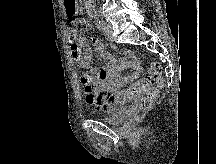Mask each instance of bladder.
I'll use <instances>...</instances> for the list:
<instances>
[{"label": "bladder", "mask_w": 216, "mask_h": 164, "mask_svg": "<svg viewBox=\"0 0 216 164\" xmlns=\"http://www.w3.org/2000/svg\"><path fill=\"white\" fill-rule=\"evenodd\" d=\"M128 111L126 106L117 107L111 115L103 117L102 121L112 125H122L128 116Z\"/></svg>", "instance_id": "obj_1"}]
</instances>
